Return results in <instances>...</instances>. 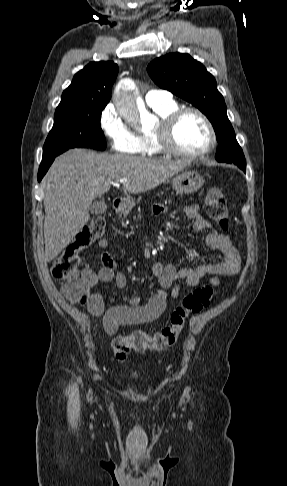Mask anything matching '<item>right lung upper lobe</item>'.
<instances>
[{
  "label": "right lung upper lobe",
  "instance_id": "obj_1",
  "mask_svg": "<svg viewBox=\"0 0 287 486\" xmlns=\"http://www.w3.org/2000/svg\"><path fill=\"white\" fill-rule=\"evenodd\" d=\"M117 74L118 66L111 61L89 63L75 74L71 85L64 90L59 106L108 103Z\"/></svg>",
  "mask_w": 287,
  "mask_h": 486
}]
</instances>
